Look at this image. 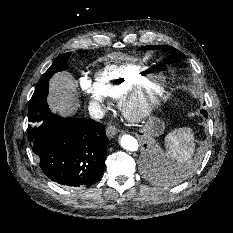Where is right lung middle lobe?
I'll return each instance as SVG.
<instances>
[{
    "mask_svg": "<svg viewBox=\"0 0 233 233\" xmlns=\"http://www.w3.org/2000/svg\"><path fill=\"white\" fill-rule=\"evenodd\" d=\"M70 57V53H64L59 55L43 76V78L37 84L35 92L29 103L28 120L30 125L27 132L31 143H33L35 137L39 133L43 121L50 115V110L46 103V96L48 94V82L54 73L63 71L67 66V60Z\"/></svg>",
    "mask_w": 233,
    "mask_h": 233,
    "instance_id": "obj_1",
    "label": "right lung middle lobe"
}]
</instances>
